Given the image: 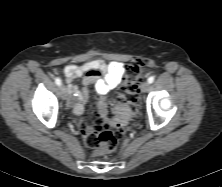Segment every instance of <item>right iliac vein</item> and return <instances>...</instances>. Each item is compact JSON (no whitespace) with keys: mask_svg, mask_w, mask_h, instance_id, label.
<instances>
[{"mask_svg":"<svg viewBox=\"0 0 222 187\" xmlns=\"http://www.w3.org/2000/svg\"><path fill=\"white\" fill-rule=\"evenodd\" d=\"M60 96L63 100H66L67 98V88L64 85H61L59 88Z\"/></svg>","mask_w":222,"mask_h":187,"instance_id":"right-iliac-vein-1","label":"right iliac vein"}]
</instances>
